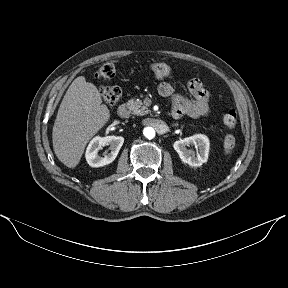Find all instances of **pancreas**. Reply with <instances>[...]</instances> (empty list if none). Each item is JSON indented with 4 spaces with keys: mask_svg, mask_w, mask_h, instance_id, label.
<instances>
[{
    "mask_svg": "<svg viewBox=\"0 0 288 288\" xmlns=\"http://www.w3.org/2000/svg\"><path fill=\"white\" fill-rule=\"evenodd\" d=\"M127 105L129 106V108L132 110L133 114L135 115H146L150 112V110L143 105L142 100L140 99H131L127 102Z\"/></svg>",
    "mask_w": 288,
    "mask_h": 288,
    "instance_id": "1",
    "label": "pancreas"
}]
</instances>
